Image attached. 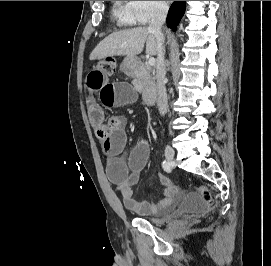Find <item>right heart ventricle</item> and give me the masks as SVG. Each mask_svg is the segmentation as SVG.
Segmentation results:
<instances>
[{"label":"right heart ventricle","instance_id":"obj_1","mask_svg":"<svg viewBox=\"0 0 271 266\" xmlns=\"http://www.w3.org/2000/svg\"><path fill=\"white\" fill-rule=\"evenodd\" d=\"M113 15L122 25L133 23L132 15L128 9L127 1H113Z\"/></svg>","mask_w":271,"mask_h":266}]
</instances>
